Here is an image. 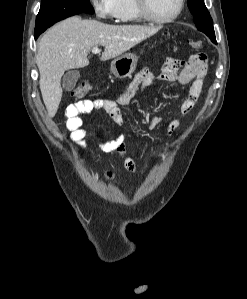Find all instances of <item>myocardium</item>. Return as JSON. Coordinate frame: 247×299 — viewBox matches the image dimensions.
<instances>
[{"instance_id":"f54148a6","label":"myocardium","mask_w":247,"mask_h":299,"mask_svg":"<svg viewBox=\"0 0 247 299\" xmlns=\"http://www.w3.org/2000/svg\"><path fill=\"white\" fill-rule=\"evenodd\" d=\"M135 1H136V7L140 17L146 21L155 24H167L175 21L180 16L184 8V0H178V7L175 13L168 18L160 19L151 15V13L148 10L147 0H135Z\"/></svg>"}]
</instances>
